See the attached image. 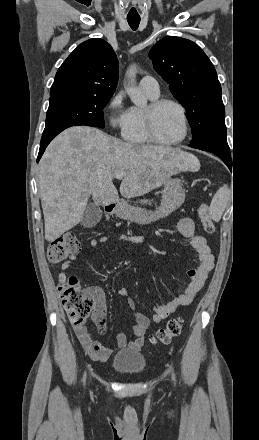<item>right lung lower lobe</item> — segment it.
<instances>
[{
    "mask_svg": "<svg viewBox=\"0 0 259 440\" xmlns=\"http://www.w3.org/2000/svg\"><path fill=\"white\" fill-rule=\"evenodd\" d=\"M78 124H67L64 125L62 127L56 128L54 130L48 131V132H43L42 138H41V143H40V149H39V154H38V158H37V162L40 160L41 156L43 155L46 147L48 146V144L63 130H65L66 128L72 127V126H77Z\"/></svg>",
    "mask_w": 259,
    "mask_h": 440,
    "instance_id": "right-lung-lower-lobe-1",
    "label": "right lung lower lobe"
}]
</instances>
